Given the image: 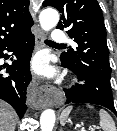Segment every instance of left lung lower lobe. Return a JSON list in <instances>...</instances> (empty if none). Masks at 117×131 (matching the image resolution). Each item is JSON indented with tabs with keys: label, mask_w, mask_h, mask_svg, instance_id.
<instances>
[{
	"label": "left lung lower lobe",
	"mask_w": 117,
	"mask_h": 131,
	"mask_svg": "<svg viewBox=\"0 0 117 131\" xmlns=\"http://www.w3.org/2000/svg\"><path fill=\"white\" fill-rule=\"evenodd\" d=\"M62 65L63 67L72 70L78 76L79 80L85 82L83 85L76 84L70 89H65V95L67 98L65 104L83 102L97 104L108 108L117 116L113 103L111 87L93 80L76 67H72L63 62Z\"/></svg>",
	"instance_id": "1"
}]
</instances>
